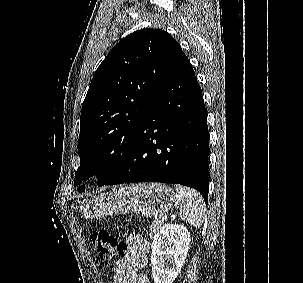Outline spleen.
<instances>
[{
	"instance_id": "obj_1",
	"label": "spleen",
	"mask_w": 303,
	"mask_h": 283,
	"mask_svg": "<svg viewBox=\"0 0 303 283\" xmlns=\"http://www.w3.org/2000/svg\"><path fill=\"white\" fill-rule=\"evenodd\" d=\"M174 187L176 190L175 207L179 210L180 218L191 226L200 228L205 216L203 198L191 188L181 185H175Z\"/></svg>"
}]
</instances>
